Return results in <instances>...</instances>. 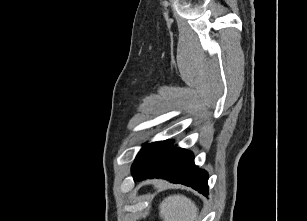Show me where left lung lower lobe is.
I'll list each match as a JSON object with an SVG mask.
<instances>
[{
  "label": "left lung lower lobe",
  "instance_id": "0a47b994",
  "mask_svg": "<svg viewBox=\"0 0 307 221\" xmlns=\"http://www.w3.org/2000/svg\"><path fill=\"white\" fill-rule=\"evenodd\" d=\"M163 178L180 183L208 195V175L194 164L190 151L171 145L156 160L134 177V181L146 178Z\"/></svg>",
  "mask_w": 307,
  "mask_h": 221
}]
</instances>
